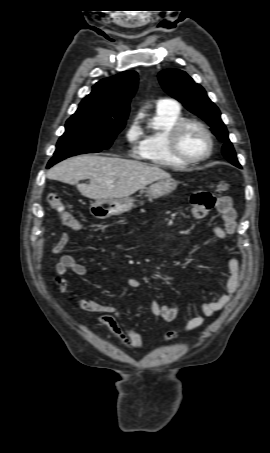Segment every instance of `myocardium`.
Listing matches in <instances>:
<instances>
[{
    "mask_svg": "<svg viewBox=\"0 0 270 453\" xmlns=\"http://www.w3.org/2000/svg\"><path fill=\"white\" fill-rule=\"evenodd\" d=\"M188 126H196L198 127L206 136L207 141H208V147L207 151L205 154H203L200 157L196 158H191L186 155H184L179 147V140L182 132L184 131L185 128ZM167 143H168V148L170 153L173 155L174 158H176L178 161L185 163V164H198L206 159H208L212 153H213V148H214V140L213 136L208 129V127L201 121L196 120V119H182L179 122H177L172 129L170 130L167 138Z\"/></svg>",
    "mask_w": 270,
    "mask_h": 453,
    "instance_id": "obj_1",
    "label": "myocardium"
}]
</instances>
